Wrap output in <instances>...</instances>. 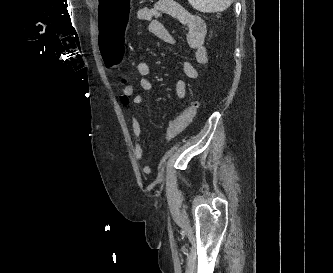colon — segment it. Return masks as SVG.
<instances>
[{"mask_svg": "<svg viewBox=\"0 0 333 273\" xmlns=\"http://www.w3.org/2000/svg\"><path fill=\"white\" fill-rule=\"evenodd\" d=\"M121 101L129 104L133 97V86L126 80L120 81ZM199 102H192L182 113L172 119L166 130V140L170 141L177 137L192 121L199 108Z\"/></svg>", "mask_w": 333, "mask_h": 273, "instance_id": "1", "label": "colon"}]
</instances>
